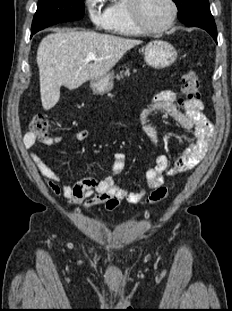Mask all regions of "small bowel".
Instances as JSON below:
<instances>
[{"instance_id":"1","label":"small bowel","mask_w":232,"mask_h":311,"mask_svg":"<svg viewBox=\"0 0 232 311\" xmlns=\"http://www.w3.org/2000/svg\"><path fill=\"white\" fill-rule=\"evenodd\" d=\"M203 107L201 100L191 101L172 90H162L155 94L141 111L139 122L142 131L153 144L158 142V136L156 128L149 122V117L158 111L166 112L183 129L190 130L194 134V140L174 162L170 163L168 157L163 154L155 156L154 165L147 170L145 175V183L148 188L161 186L167 176L190 170L204 159L210 147L214 130L202 112ZM87 136L88 132L82 129L70 134L45 137L40 141L45 146H54L66 139L83 141ZM38 141L39 137L32 132L26 133L23 137V145L27 150L32 149ZM32 160L49 189L55 195L65 197L71 207L82 205L84 210H88L105 203L106 209L112 211L122 201L137 204L145 196L144 190L127 191L116 185L115 177L126 167V157L121 152L113 154L109 174L101 179L88 177L73 186L63 183L60 176L43 161L39 154L33 153Z\"/></svg>"}]
</instances>
